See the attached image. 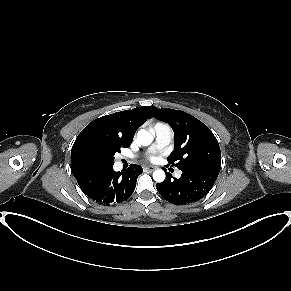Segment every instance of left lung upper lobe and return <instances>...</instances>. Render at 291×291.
I'll return each mask as SVG.
<instances>
[{"label":"left lung upper lobe","mask_w":291,"mask_h":291,"mask_svg":"<svg viewBox=\"0 0 291 291\" xmlns=\"http://www.w3.org/2000/svg\"><path fill=\"white\" fill-rule=\"evenodd\" d=\"M152 117L168 123L175 135L167 160L178 169L192 166L221 167V152L212 131L194 116L174 109L154 108Z\"/></svg>","instance_id":"obj_1"}]
</instances>
